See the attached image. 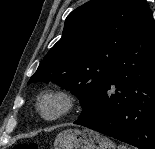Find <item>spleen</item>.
Here are the masks:
<instances>
[{
    "instance_id": "spleen-1",
    "label": "spleen",
    "mask_w": 155,
    "mask_h": 149,
    "mask_svg": "<svg viewBox=\"0 0 155 149\" xmlns=\"http://www.w3.org/2000/svg\"><path fill=\"white\" fill-rule=\"evenodd\" d=\"M118 149H130V148H128L126 145H119Z\"/></svg>"
}]
</instances>
